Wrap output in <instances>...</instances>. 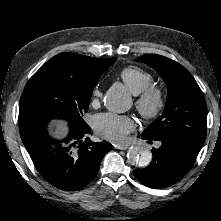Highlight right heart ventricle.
I'll return each instance as SVG.
<instances>
[{
  "label": "right heart ventricle",
  "mask_w": 221,
  "mask_h": 221,
  "mask_svg": "<svg viewBox=\"0 0 221 221\" xmlns=\"http://www.w3.org/2000/svg\"><path fill=\"white\" fill-rule=\"evenodd\" d=\"M120 77L133 94H139L152 83V76L138 67H126Z\"/></svg>",
  "instance_id": "obj_1"
}]
</instances>
